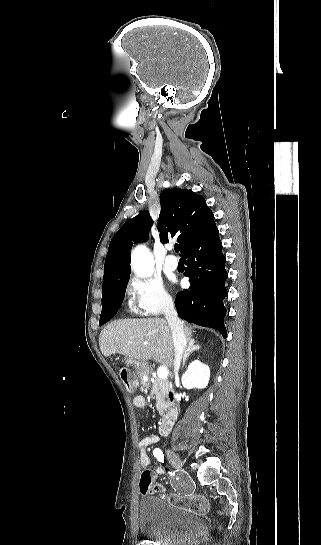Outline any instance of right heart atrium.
Segmentation results:
<instances>
[{
  "label": "right heart atrium",
  "instance_id": "1",
  "mask_svg": "<svg viewBox=\"0 0 321 545\" xmlns=\"http://www.w3.org/2000/svg\"><path fill=\"white\" fill-rule=\"evenodd\" d=\"M126 297L131 311L137 316H158L174 306V300L160 278L151 274L132 276L126 286Z\"/></svg>",
  "mask_w": 321,
  "mask_h": 545
}]
</instances>
